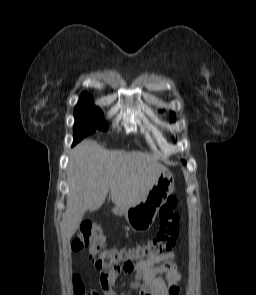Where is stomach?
<instances>
[{
    "label": "stomach",
    "mask_w": 256,
    "mask_h": 295,
    "mask_svg": "<svg viewBox=\"0 0 256 295\" xmlns=\"http://www.w3.org/2000/svg\"><path fill=\"white\" fill-rule=\"evenodd\" d=\"M173 190V175L165 168L142 201L129 207L115 206L112 211L116 216H124L132 230L137 232L149 230Z\"/></svg>",
    "instance_id": "1"
}]
</instances>
